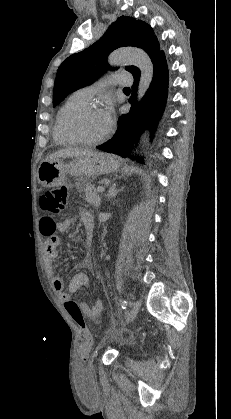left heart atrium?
Wrapping results in <instances>:
<instances>
[{
  "label": "left heart atrium",
  "instance_id": "obj_1",
  "mask_svg": "<svg viewBox=\"0 0 231 419\" xmlns=\"http://www.w3.org/2000/svg\"><path fill=\"white\" fill-rule=\"evenodd\" d=\"M101 112H102V115L105 119V122H106L108 128H110V126L113 123V119H114L113 107L111 105H107Z\"/></svg>",
  "mask_w": 231,
  "mask_h": 419
}]
</instances>
